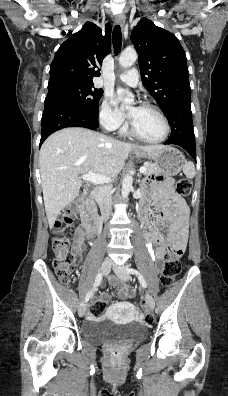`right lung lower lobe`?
Listing matches in <instances>:
<instances>
[{"label":"right lung lower lobe","mask_w":228,"mask_h":396,"mask_svg":"<svg viewBox=\"0 0 228 396\" xmlns=\"http://www.w3.org/2000/svg\"><path fill=\"white\" fill-rule=\"evenodd\" d=\"M40 146L45 139L57 130L66 127L96 129L99 126L98 114L85 111L63 99L45 100L42 115Z\"/></svg>","instance_id":"98d812e1"}]
</instances>
